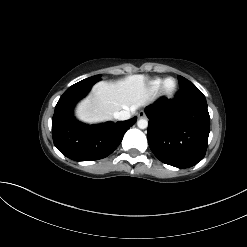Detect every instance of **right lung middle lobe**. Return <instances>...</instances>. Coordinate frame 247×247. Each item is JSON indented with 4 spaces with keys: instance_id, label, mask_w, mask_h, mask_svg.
<instances>
[{
    "instance_id": "1",
    "label": "right lung middle lobe",
    "mask_w": 247,
    "mask_h": 247,
    "mask_svg": "<svg viewBox=\"0 0 247 247\" xmlns=\"http://www.w3.org/2000/svg\"><path fill=\"white\" fill-rule=\"evenodd\" d=\"M101 75H96L87 79L82 80L84 83H95L100 80Z\"/></svg>"
}]
</instances>
